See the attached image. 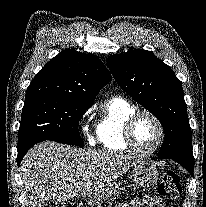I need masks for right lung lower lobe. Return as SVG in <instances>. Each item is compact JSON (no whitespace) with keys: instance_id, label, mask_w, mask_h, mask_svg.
<instances>
[{"instance_id":"1","label":"right lung lower lobe","mask_w":206,"mask_h":207,"mask_svg":"<svg viewBox=\"0 0 206 207\" xmlns=\"http://www.w3.org/2000/svg\"><path fill=\"white\" fill-rule=\"evenodd\" d=\"M28 150H29V149H28ZM28 150H24V151H19V152H18V156H17V164H18V166L20 165V163H21V161H22L24 155L26 154V152H27Z\"/></svg>"}]
</instances>
